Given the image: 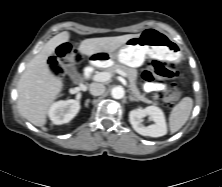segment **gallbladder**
<instances>
[{"label":"gallbladder","mask_w":222,"mask_h":187,"mask_svg":"<svg viewBox=\"0 0 222 187\" xmlns=\"http://www.w3.org/2000/svg\"><path fill=\"white\" fill-rule=\"evenodd\" d=\"M64 71L73 82H79L80 74L78 73L77 68L74 65L65 66Z\"/></svg>","instance_id":"1"}]
</instances>
